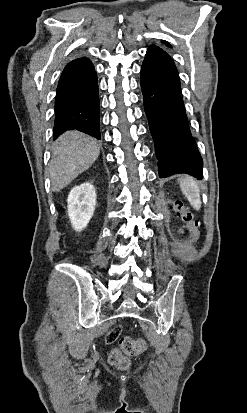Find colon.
<instances>
[{
    "label": "colon",
    "mask_w": 247,
    "mask_h": 413,
    "mask_svg": "<svg viewBox=\"0 0 247 413\" xmlns=\"http://www.w3.org/2000/svg\"><path fill=\"white\" fill-rule=\"evenodd\" d=\"M170 207L176 212V215L180 217L184 225L191 231L192 237L197 239L199 237V231L197 229L198 224L193 219L191 212L188 210L186 205L182 201L174 200L170 201ZM119 337H117L118 339ZM129 343L130 349L123 350L122 344ZM115 350H113L109 355V362L116 368L120 370H125L129 366V360L125 355H146L147 347L145 342L140 339H134L132 337H121L119 339V344L115 345Z\"/></svg>",
    "instance_id": "obj_1"
}]
</instances>
